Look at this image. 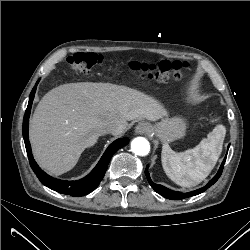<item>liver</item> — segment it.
I'll list each match as a JSON object with an SVG mask.
<instances>
[{"label":"liver","instance_id":"liver-1","mask_svg":"<svg viewBox=\"0 0 250 250\" xmlns=\"http://www.w3.org/2000/svg\"><path fill=\"white\" fill-rule=\"evenodd\" d=\"M167 111L152 97L126 86L80 82L63 84L46 93L33 114L29 137L38 164L61 175L77 164L108 122L157 121Z\"/></svg>","mask_w":250,"mask_h":250}]
</instances>
